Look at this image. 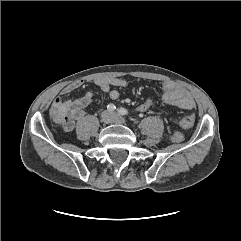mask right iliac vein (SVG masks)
<instances>
[{
	"label": "right iliac vein",
	"instance_id": "63e3f726",
	"mask_svg": "<svg viewBox=\"0 0 241 241\" xmlns=\"http://www.w3.org/2000/svg\"><path fill=\"white\" fill-rule=\"evenodd\" d=\"M102 120L105 124H109L113 121V114L109 113V112H105L102 115Z\"/></svg>",
	"mask_w": 241,
	"mask_h": 241
}]
</instances>
